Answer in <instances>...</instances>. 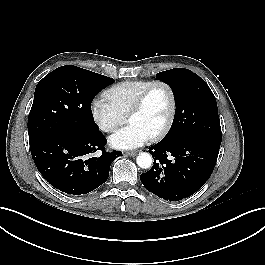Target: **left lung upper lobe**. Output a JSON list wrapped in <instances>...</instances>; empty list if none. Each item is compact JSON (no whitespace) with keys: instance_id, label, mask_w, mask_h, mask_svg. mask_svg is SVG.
Segmentation results:
<instances>
[{"instance_id":"1","label":"left lung upper lobe","mask_w":265,"mask_h":265,"mask_svg":"<svg viewBox=\"0 0 265 265\" xmlns=\"http://www.w3.org/2000/svg\"><path fill=\"white\" fill-rule=\"evenodd\" d=\"M156 78L170 85L176 104L172 126L161 142L200 136L221 143L217 102L204 80L184 68L160 72Z\"/></svg>"}]
</instances>
